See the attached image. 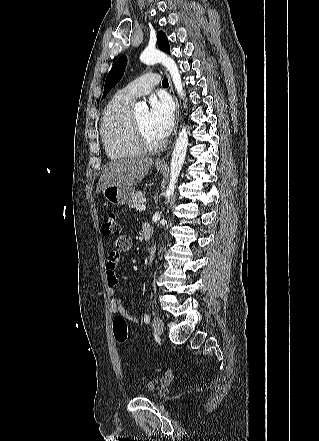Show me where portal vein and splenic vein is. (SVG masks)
I'll use <instances>...</instances> for the list:
<instances>
[{
  "label": "portal vein and splenic vein",
  "mask_w": 319,
  "mask_h": 441,
  "mask_svg": "<svg viewBox=\"0 0 319 441\" xmlns=\"http://www.w3.org/2000/svg\"><path fill=\"white\" fill-rule=\"evenodd\" d=\"M146 209V206L143 204V205H141L140 207H139V211H143V210H145Z\"/></svg>",
  "instance_id": "obj_1"
}]
</instances>
